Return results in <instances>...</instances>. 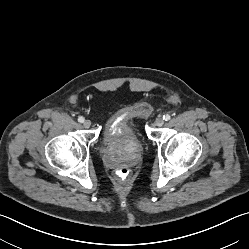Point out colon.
<instances>
[{
    "mask_svg": "<svg viewBox=\"0 0 249 249\" xmlns=\"http://www.w3.org/2000/svg\"><path fill=\"white\" fill-rule=\"evenodd\" d=\"M130 175V169L127 167H120L116 170V177L122 181L128 180Z\"/></svg>",
    "mask_w": 249,
    "mask_h": 249,
    "instance_id": "obj_1",
    "label": "colon"
}]
</instances>
